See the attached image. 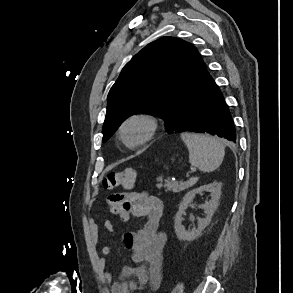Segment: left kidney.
<instances>
[{
  "mask_svg": "<svg viewBox=\"0 0 293 293\" xmlns=\"http://www.w3.org/2000/svg\"><path fill=\"white\" fill-rule=\"evenodd\" d=\"M203 192H210L211 199L205 204L201 205L200 208L204 210L206 214L205 218L198 219V225L192 230H185V227L182 224L183 215L188 205L193 201L197 194ZM221 196V183L212 182L207 185L200 186L196 189L189 191L181 201L179 209L175 215V233L180 240L183 241H192L196 239L202 231L209 225L211 222L212 216L219 205V199Z\"/></svg>",
  "mask_w": 293,
  "mask_h": 293,
  "instance_id": "5707ae66",
  "label": "left kidney"
}]
</instances>
